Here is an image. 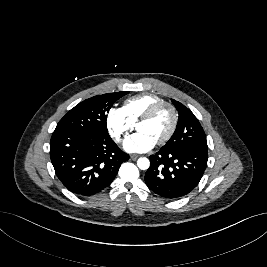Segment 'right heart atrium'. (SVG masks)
<instances>
[{
    "label": "right heart atrium",
    "mask_w": 267,
    "mask_h": 267,
    "mask_svg": "<svg viewBox=\"0 0 267 267\" xmlns=\"http://www.w3.org/2000/svg\"><path fill=\"white\" fill-rule=\"evenodd\" d=\"M135 124L123 108L112 107L106 115V127L111 137L121 142L134 128Z\"/></svg>",
    "instance_id": "d8ad5b80"
}]
</instances>
